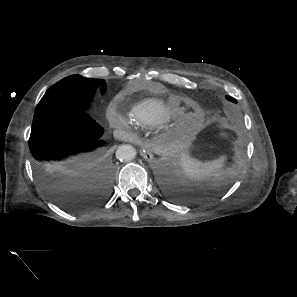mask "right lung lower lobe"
<instances>
[{"label": "right lung lower lobe", "instance_id": "obj_1", "mask_svg": "<svg viewBox=\"0 0 297 297\" xmlns=\"http://www.w3.org/2000/svg\"><path fill=\"white\" fill-rule=\"evenodd\" d=\"M103 128L87 113L60 112L33 125L29 148L37 180L62 208L84 211L110 195L113 165Z\"/></svg>", "mask_w": 297, "mask_h": 297}]
</instances>
